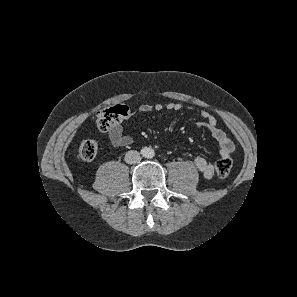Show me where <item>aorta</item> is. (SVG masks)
<instances>
[{"mask_svg":"<svg viewBox=\"0 0 297 297\" xmlns=\"http://www.w3.org/2000/svg\"><path fill=\"white\" fill-rule=\"evenodd\" d=\"M154 155H155V152L151 147H146L143 149V156L145 158H152Z\"/></svg>","mask_w":297,"mask_h":297,"instance_id":"762f6f07","label":"aorta"}]
</instances>
